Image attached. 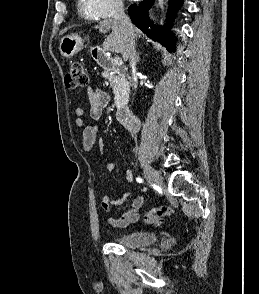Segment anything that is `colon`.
Returning a JSON list of instances; mask_svg holds the SVG:
<instances>
[{
    "label": "colon",
    "mask_w": 259,
    "mask_h": 294,
    "mask_svg": "<svg viewBox=\"0 0 259 294\" xmlns=\"http://www.w3.org/2000/svg\"><path fill=\"white\" fill-rule=\"evenodd\" d=\"M88 82V76L85 68L80 61H73L69 66V71L65 75V85L68 88L85 87ZM173 213V209L169 206H159L150 209L144 217L147 224L152 226H160L163 218Z\"/></svg>",
    "instance_id": "1"
}]
</instances>
